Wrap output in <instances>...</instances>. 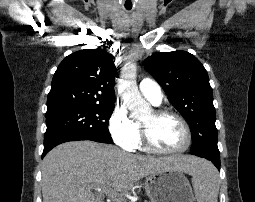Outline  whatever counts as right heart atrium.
<instances>
[{"instance_id": "1", "label": "right heart atrium", "mask_w": 255, "mask_h": 202, "mask_svg": "<svg viewBox=\"0 0 255 202\" xmlns=\"http://www.w3.org/2000/svg\"><path fill=\"white\" fill-rule=\"evenodd\" d=\"M108 130L117 146L125 150L135 148L138 138L137 124L123 106L117 105L113 109L108 121Z\"/></svg>"}]
</instances>
